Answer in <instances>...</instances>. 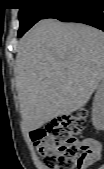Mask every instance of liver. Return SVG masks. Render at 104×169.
<instances>
[{
    "label": "liver",
    "mask_w": 104,
    "mask_h": 169,
    "mask_svg": "<svg viewBox=\"0 0 104 169\" xmlns=\"http://www.w3.org/2000/svg\"><path fill=\"white\" fill-rule=\"evenodd\" d=\"M104 76V34L44 19L20 40L15 83L26 131L81 109Z\"/></svg>",
    "instance_id": "liver-1"
}]
</instances>
